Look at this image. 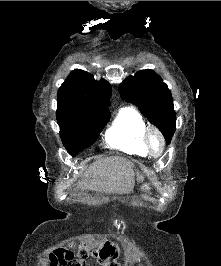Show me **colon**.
<instances>
[{"instance_id":"obj_1","label":"colon","mask_w":221,"mask_h":266,"mask_svg":"<svg viewBox=\"0 0 221 266\" xmlns=\"http://www.w3.org/2000/svg\"><path fill=\"white\" fill-rule=\"evenodd\" d=\"M93 254L103 263V266H120L117 262L118 251L111 241H105ZM90 255V249L82 246L78 249L80 258H87Z\"/></svg>"}]
</instances>
